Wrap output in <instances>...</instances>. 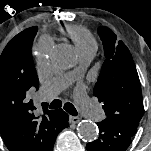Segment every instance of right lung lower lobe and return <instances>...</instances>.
<instances>
[{"mask_svg":"<svg viewBox=\"0 0 151 151\" xmlns=\"http://www.w3.org/2000/svg\"><path fill=\"white\" fill-rule=\"evenodd\" d=\"M69 116L62 109L55 110L50 130L56 139L57 135L66 127H68ZM55 142V141H54ZM54 145V144H53Z\"/></svg>","mask_w":151,"mask_h":151,"instance_id":"98d812e1","label":"right lung lower lobe"}]
</instances>
